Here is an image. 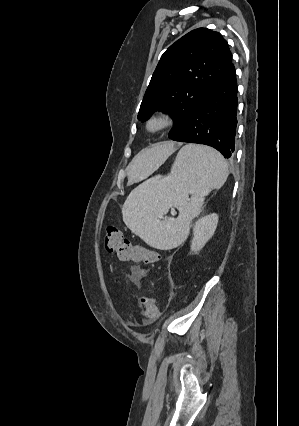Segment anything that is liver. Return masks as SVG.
Segmentation results:
<instances>
[{
    "label": "liver",
    "mask_w": 299,
    "mask_h": 426,
    "mask_svg": "<svg viewBox=\"0 0 299 426\" xmlns=\"http://www.w3.org/2000/svg\"><path fill=\"white\" fill-rule=\"evenodd\" d=\"M175 151V143L164 141L140 151L128 167L131 179L143 178L154 172Z\"/></svg>",
    "instance_id": "obj_1"
}]
</instances>
